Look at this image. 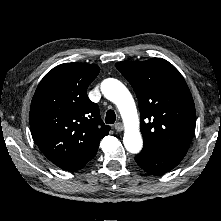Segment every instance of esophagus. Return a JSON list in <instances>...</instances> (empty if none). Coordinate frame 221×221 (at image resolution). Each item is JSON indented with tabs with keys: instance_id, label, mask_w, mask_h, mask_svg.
<instances>
[{
	"instance_id": "34e87169",
	"label": "esophagus",
	"mask_w": 221,
	"mask_h": 221,
	"mask_svg": "<svg viewBox=\"0 0 221 221\" xmlns=\"http://www.w3.org/2000/svg\"><path fill=\"white\" fill-rule=\"evenodd\" d=\"M114 127L117 132L123 131V125L121 122H117Z\"/></svg>"
}]
</instances>
